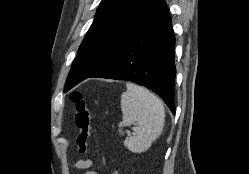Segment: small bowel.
Instances as JSON below:
<instances>
[{"instance_id": "obj_1", "label": "small bowel", "mask_w": 249, "mask_h": 174, "mask_svg": "<svg viewBox=\"0 0 249 174\" xmlns=\"http://www.w3.org/2000/svg\"><path fill=\"white\" fill-rule=\"evenodd\" d=\"M93 162L90 159H80L76 161L74 167L77 169H89L92 166ZM85 174H97L95 171L89 170ZM118 174V173H113Z\"/></svg>"}]
</instances>
